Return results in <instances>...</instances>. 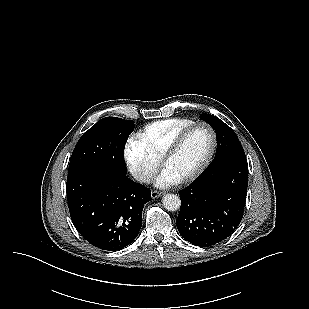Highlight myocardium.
<instances>
[{
    "label": "myocardium",
    "instance_id": "myocardium-1",
    "mask_svg": "<svg viewBox=\"0 0 309 309\" xmlns=\"http://www.w3.org/2000/svg\"><path fill=\"white\" fill-rule=\"evenodd\" d=\"M196 127H205L209 131L210 136H211V146H210V149L206 157L201 162V164L196 169H194L191 173L180 178L178 181L179 183H188V182L195 180L198 176H200L202 172L210 164L213 158V155L215 153V150H216L217 136L212 126L206 122H194L191 125L187 126L185 129H183L170 143V145L164 152L163 156L161 157L162 167H165L166 163L177 153V151L181 148L182 144L186 140L187 136Z\"/></svg>",
    "mask_w": 309,
    "mask_h": 309
}]
</instances>
